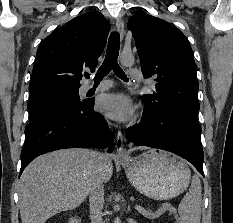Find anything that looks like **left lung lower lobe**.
Instances as JSON below:
<instances>
[{
  "label": "left lung lower lobe",
  "instance_id": "left-lung-lower-lobe-1",
  "mask_svg": "<svg viewBox=\"0 0 233 223\" xmlns=\"http://www.w3.org/2000/svg\"><path fill=\"white\" fill-rule=\"evenodd\" d=\"M125 135L138 146L163 149L181 156L204 176L201 127L197 115L169 113L150 117L143 113L142 120L128 128Z\"/></svg>",
  "mask_w": 233,
  "mask_h": 223
}]
</instances>
